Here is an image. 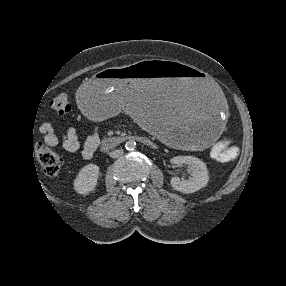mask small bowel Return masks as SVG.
<instances>
[{"label": "small bowel", "instance_id": "small-bowel-1", "mask_svg": "<svg viewBox=\"0 0 286 286\" xmlns=\"http://www.w3.org/2000/svg\"><path fill=\"white\" fill-rule=\"evenodd\" d=\"M39 131L44 135V140L49 145H56L59 141L53 127L49 123H44L40 126ZM100 139L98 128L94 129V132L89 135L83 142L79 140L77 131L75 128L70 127L65 130L62 137L63 148L70 153L79 152L82 158L88 160L93 157L94 153L99 147ZM229 152L233 159L237 156L238 150L236 147H230ZM229 159V160H230Z\"/></svg>", "mask_w": 286, "mask_h": 286}]
</instances>
